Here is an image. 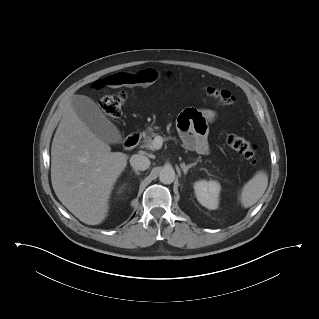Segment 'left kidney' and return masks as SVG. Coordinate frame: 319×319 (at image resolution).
Segmentation results:
<instances>
[{
  "label": "left kidney",
  "mask_w": 319,
  "mask_h": 319,
  "mask_svg": "<svg viewBox=\"0 0 319 319\" xmlns=\"http://www.w3.org/2000/svg\"><path fill=\"white\" fill-rule=\"evenodd\" d=\"M221 185L215 180H199L194 183V191L198 202L210 210L218 208Z\"/></svg>",
  "instance_id": "obj_1"
}]
</instances>
